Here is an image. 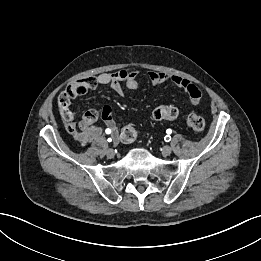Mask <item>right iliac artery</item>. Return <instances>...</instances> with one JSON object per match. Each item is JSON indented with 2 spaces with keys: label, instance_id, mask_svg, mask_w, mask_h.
I'll list each match as a JSON object with an SVG mask.
<instances>
[{
  "label": "right iliac artery",
  "instance_id": "obj_1",
  "mask_svg": "<svg viewBox=\"0 0 261 261\" xmlns=\"http://www.w3.org/2000/svg\"><path fill=\"white\" fill-rule=\"evenodd\" d=\"M106 133H107V134H110V133H111V130L107 129V130H106ZM107 141H108V142H112V138H108Z\"/></svg>",
  "mask_w": 261,
  "mask_h": 261
}]
</instances>
